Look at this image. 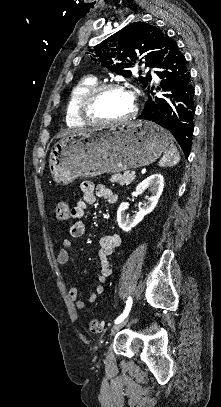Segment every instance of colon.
Wrapping results in <instances>:
<instances>
[{
	"label": "colon",
	"instance_id": "1",
	"mask_svg": "<svg viewBox=\"0 0 221 407\" xmlns=\"http://www.w3.org/2000/svg\"><path fill=\"white\" fill-rule=\"evenodd\" d=\"M71 211L72 209H70V207L67 204L65 203L58 204L56 208V217L58 221H60L63 224L70 222ZM88 329L89 332L93 334L103 333L106 329V325L104 322L98 319H93L89 322Z\"/></svg>",
	"mask_w": 221,
	"mask_h": 407
}]
</instances>
